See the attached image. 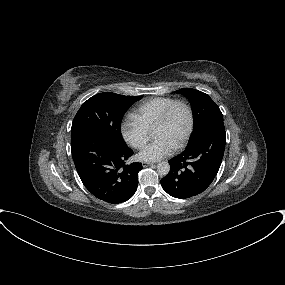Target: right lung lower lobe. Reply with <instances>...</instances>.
Masks as SVG:
<instances>
[{"instance_id": "obj_1", "label": "right lung lower lobe", "mask_w": 285, "mask_h": 285, "mask_svg": "<svg viewBox=\"0 0 285 285\" xmlns=\"http://www.w3.org/2000/svg\"><path fill=\"white\" fill-rule=\"evenodd\" d=\"M71 153L76 170L87 190L100 200L118 204L137 190L141 163L126 164L133 155L109 139L87 131L71 134Z\"/></svg>"}]
</instances>
